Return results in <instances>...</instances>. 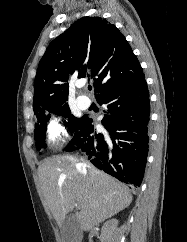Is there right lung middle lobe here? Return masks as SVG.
Segmentation results:
<instances>
[{"label":"right lung middle lobe","mask_w":187,"mask_h":242,"mask_svg":"<svg viewBox=\"0 0 187 242\" xmlns=\"http://www.w3.org/2000/svg\"><path fill=\"white\" fill-rule=\"evenodd\" d=\"M47 113H55L57 115H63L64 117H68V125L70 126L71 132H74L77 130L79 125L81 124L84 117L77 118L74 117L69 110L68 105H64L52 110H49L47 112H43L36 115L37 123L35 124V140H36V147L39 150L41 147H46L45 143V132L47 128V121L50 118V115Z\"/></svg>","instance_id":"dd1d6c3e"}]
</instances>
